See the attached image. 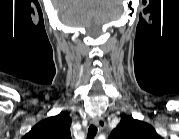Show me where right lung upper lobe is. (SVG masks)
I'll use <instances>...</instances> for the list:
<instances>
[{
  "label": "right lung upper lobe",
  "mask_w": 179,
  "mask_h": 139,
  "mask_svg": "<svg viewBox=\"0 0 179 139\" xmlns=\"http://www.w3.org/2000/svg\"><path fill=\"white\" fill-rule=\"evenodd\" d=\"M71 118L67 114H58L36 124L24 139H71Z\"/></svg>",
  "instance_id": "obj_1"
}]
</instances>
